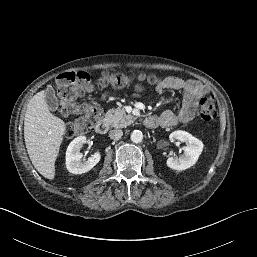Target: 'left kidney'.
<instances>
[{
	"label": "left kidney",
	"instance_id": "1",
	"mask_svg": "<svg viewBox=\"0 0 257 257\" xmlns=\"http://www.w3.org/2000/svg\"><path fill=\"white\" fill-rule=\"evenodd\" d=\"M170 139H176L186 144L183 147V155L178 157H169L166 164L169 168L182 171L193 166L203 150V143L190 133L182 130L174 131L170 134Z\"/></svg>",
	"mask_w": 257,
	"mask_h": 257
}]
</instances>
